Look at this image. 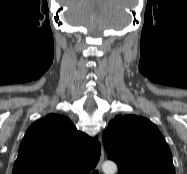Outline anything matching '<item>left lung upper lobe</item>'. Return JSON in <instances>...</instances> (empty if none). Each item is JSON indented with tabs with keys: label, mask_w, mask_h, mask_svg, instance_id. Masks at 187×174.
Here are the masks:
<instances>
[{
	"label": "left lung upper lobe",
	"mask_w": 187,
	"mask_h": 174,
	"mask_svg": "<svg viewBox=\"0 0 187 174\" xmlns=\"http://www.w3.org/2000/svg\"><path fill=\"white\" fill-rule=\"evenodd\" d=\"M102 138L107 157L118 165V174H175L170 148L147 118L116 116Z\"/></svg>",
	"instance_id": "5c2ea615"
}]
</instances>
